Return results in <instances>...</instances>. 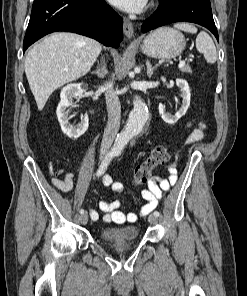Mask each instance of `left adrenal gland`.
Here are the masks:
<instances>
[{
    "instance_id": "a2214340",
    "label": "left adrenal gland",
    "mask_w": 247,
    "mask_h": 296,
    "mask_svg": "<svg viewBox=\"0 0 247 296\" xmlns=\"http://www.w3.org/2000/svg\"><path fill=\"white\" fill-rule=\"evenodd\" d=\"M146 66H147V76H148L149 78H151V76L153 75L154 71H155L156 68H157V65L152 66V65L150 64V62L147 60V61H146Z\"/></svg>"
}]
</instances>
